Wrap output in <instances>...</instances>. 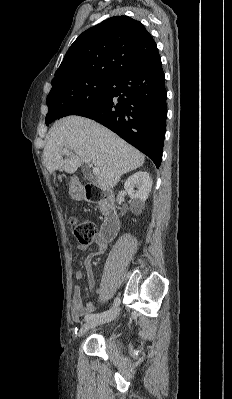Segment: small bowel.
<instances>
[{"label":"small bowel","mask_w":232,"mask_h":399,"mask_svg":"<svg viewBox=\"0 0 232 399\" xmlns=\"http://www.w3.org/2000/svg\"><path fill=\"white\" fill-rule=\"evenodd\" d=\"M89 244L87 242H81L79 244L80 250H86ZM98 251L91 253L88 255V261L98 258L101 254L109 247L108 242H99L97 244ZM77 276L79 278L84 277V263H79V269L77 271ZM87 279H88V288L91 289L93 286V274L90 268H87ZM95 307L91 303H83L81 293L78 287H75L72 298L70 300V307H69V319L70 322L78 329H84V324L81 323L80 317L90 311H93ZM111 311L117 312L119 311L118 307H110ZM90 327L96 331L103 332L107 330V327L98 325V324H90ZM120 328L133 330L139 327V323L133 321H127L119 324Z\"/></svg>","instance_id":"small-bowel-1"}]
</instances>
